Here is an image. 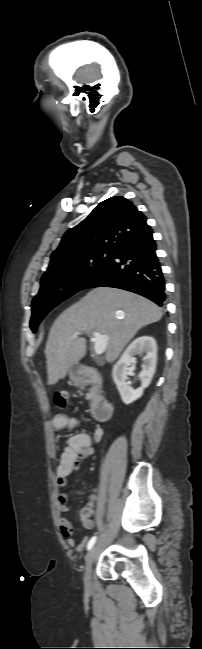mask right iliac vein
Masks as SVG:
<instances>
[{"instance_id":"right-iliac-vein-1","label":"right iliac vein","mask_w":202,"mask_h":649,"mask_svg":"<svg viewBox=\"0 0 202 649\" xmlns=\"http://www.w3.org/2000/svg\"><path fill=\"white\" fill-rule=\"evenodd\" d=\"M98 551V547L95 545L93 546L89 553L86 556V565H85V572H84V586L87 591L91 590V573H92V566L94 563V560L96 558Z\"/></svg>"}]
</instances>
